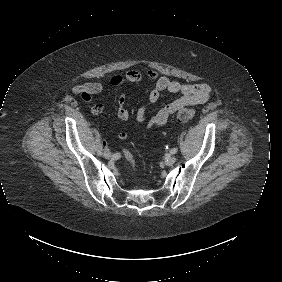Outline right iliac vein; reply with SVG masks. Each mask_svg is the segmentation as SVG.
<instances>
[{
	"instance_id": "63e3f726",
	"label": "right iliac vein",
	"mask_w": 282,
	"mask_h": 282,
	"mask_svg": "<svg viewBox=\"0 0 282 282\" xmlns=\"http://www.w3.org/2000/svg\"><path fill=\"white\" fill-rule=\"evenodd\" d=\"M103 155L106 159H109L111 157V153L108 150H105Z\"/></svg>"
}]
</instances>
